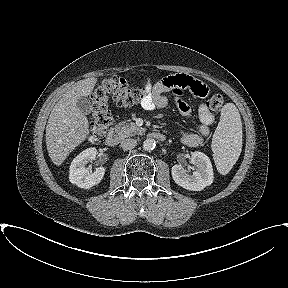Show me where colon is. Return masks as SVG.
<instances>
[{
	"mask_svg": "<svg viewBox=\"0 0 288 288\" xmlns=\"http://www.w3.org/2000/svg\"><path fill=\"white\" fill-rule=\"evenodd\" d=\"M149 90L144 87H130L127 81L117 75L104 79L91 95V110L93 121L90 127V140L95 143L102 142L112 123V116L108 108V101L112 99L118 105L131 107L143 101ZM223 97L213 95L207 106L218 111L223 105Z\"/></svg>",
	"mask_w": 288,
	"mask_h": 288,
	"instance_id": "obj_1",
	"label": "colon"
}]
</instances>
